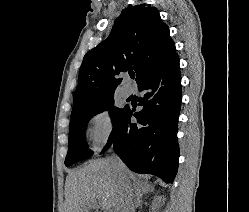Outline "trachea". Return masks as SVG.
I'll return each mask as SVG.
<instances>
[{
  "mask_svg": "<svg viewBox=\"0 0 249 212\" xmlns=\"http://www.w3.org/2000/svg\"><path fill=\"white\" fill-rule=\"evenodd\" d=\"M130 77H131L132 79H134L135 74H130Z\"/></svg>",
  "mask_w": 249,
  "mask_h": 212,
  "instance_id": "trachea-1",
  "label": "trachea"
}]
</instances>
